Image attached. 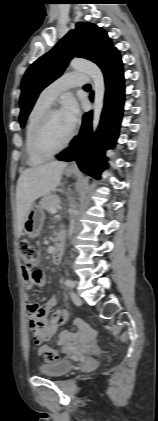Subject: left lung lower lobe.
Wrapping results in <instances>:
<instances>
[{
    "label": "left lung lower lobe",
    "instance_id": "1",
    "mask_svg": "<svg viewBox=\"0 0 158 421\" xmlns=\"http://www.w3.org/2000/svg\"><path fill=\"white\" fill-rule=\"evenodd\" d=\"M105 77V105L101 122L95 137H92V111L85 113L81 131L70 147L56 155L61 161L75 160L79 168L88 175L99 179L106 168L105 150L115 145L121 122L124 103L123 66L119 51L116 49L100 65ZM93 99V94L90 96Z\"/></svg>",
    "mask_w": 158,
    "mask_h": 421
}]
</instances>
